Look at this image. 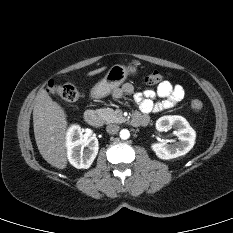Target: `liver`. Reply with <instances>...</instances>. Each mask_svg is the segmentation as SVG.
<instances>
[{
  "mask_svg": "<svg viewBox=\"0 0 233 233\" xmlns=\"http://www.w3.org/2000/svg\"><path fill=\"white\" fill-rule=\"evenodd\" d=\"M105 68L91 71L88 76L96 75ZM33 127L36 144L42 157L53 167L66 168V113L43 88L38 91L35 98Z\"/></svg>",
  "mask_w": 233,
  "mask_h": 233,
  "instance_id": "1",
  "label": "liver"
}]
</instances>
